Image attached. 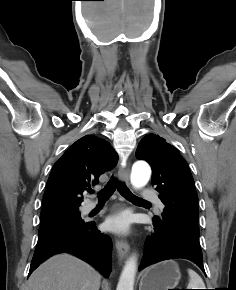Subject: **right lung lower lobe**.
<instances>
[{
    "label": "right lung lower lobe",
    "mask_w": 236,
    "mask_h": 290,
    "mask_svg": "<svg viewBox=\"0 0 236 290\" xmlns=\"http://www.w3.org/2000/svg\"><path fill=\"white\" fill-rule=\"evenodd\" d=\"M71 253L108 277L112 269V241L101 233L94 222L56 229L39 235L29 274L50 256Z\"/></svg>",
    "instance_id": "right-lung-lower-lobe-1"
}]
</instances>
